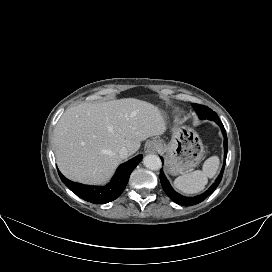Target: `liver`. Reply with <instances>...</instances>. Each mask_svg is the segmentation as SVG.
<instances>
[{
	"mask_svg": "<svg viewBox=\"0 0 272 272\" xmlns=\"http://www.w3.org/2000/svg\"><path fill=\"white\" fill-rule=\"evenodd\" d=\"M166 120L146 101L124 98L82 103L67 109L53 136L57 165L64 176L84 184H102L121 162L119 150L132 155L141 142L161 136Z\"/></svg>",
	"mask_w": 272,
	"mask_h": 272,
	"instance_id": "1",
	"label": "liver"
}]
</instances>
